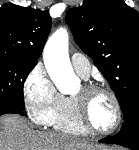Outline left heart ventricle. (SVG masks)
Returning <instances> with one entry per match:
<instances>
[{
  "mask_svg": "<svg viewBox=\"0 0 139 150\" xmlns=\"http://www.w3.org/2000/svg\"><path fill=\"white\" fill-rule=\"evenodd\" d=\"M82 88L76 96L81 95ZM88 115L92 125L98 130L110 129L116 119L115 106L111 98L104 93H97L90 97Z\"/></svg>",
  "mask_w": 139,
  "mask_h": 150,
  "instance_id": "1",
  "label": "left heart ventricle"
}]
</instances>
